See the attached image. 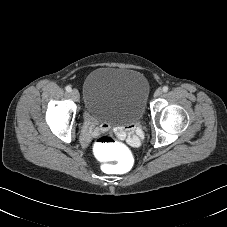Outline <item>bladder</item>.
Masks as SVG:
<instances>
[{
    "mask_svg": "<svg viewBox=\"0 0 227 227\" xmlns=\"http://www.w3.org/2000/svg\"><path fill=\"white\" fill-rule=\"evenodd\" d=\"M148 83L138 71L99 67L84 82V104L97 119L110 123H131L143 116Z\"/></svg>",
    "mask_w": 227,
    "mask_h": 227,
    "instance_id": "obj_1",
    "label": "bladder"
}]
</instances>
